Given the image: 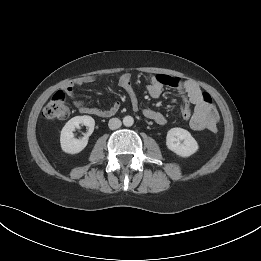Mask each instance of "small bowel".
<instances>
[{
    "label": "small bowel",
    "instance_id": "obj_1",
    "mask_svg": "<svg viewBox=\"0 0 261 261\" xmlns=\"http://www.w3.org/2000/svg\"><path fill=\"white\" fill-rule=\"evenodd\" d=\"M93 81L94 77L92 76L82 77L76 82L67 85L65 92L69 97L73 98L74 87L76 85L81 86ZM118 83L130 96L133 109L137 110L138 102L132 88L130 74L125 73L121 75ZM165 87H171L177 90L181 95L183 100L182 116L185 120H189L190 127L193 130L201 131L207 129L213 132L217 130V122L219 120L218 112L216 111L212 101L205 98L207 93L202 92L198 85L190 81L181 82L180 79L167 75L150 76L147 91L152 98H158ZM74 105L78 111L83 114L97 116H110L119 108V103L117 102L106 110L88 107L82 100H75ZM191 105L194 107L193 112L191 111ZM143 115L157 124H164L166 122V118L162 113L150 108L144 109Z\"/></svg>",
    "mask_w": 261,
    "mask_h": 261
}]
</instances>
